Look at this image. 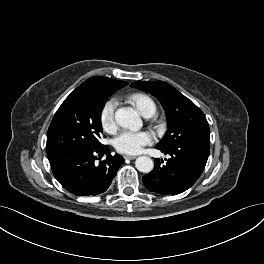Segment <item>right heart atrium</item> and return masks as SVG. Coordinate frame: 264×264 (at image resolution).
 I'll return each instance as SVG.
<instances>
[{
    "mask_svg": "<svg viewBox=\"0 0 264 264\" xmlns=\"http://www.w3.org/2000/svg\"><path fill=\"white\" fill-rule=\"evenodd\" d=\"M117 100L115 98L108 99L100 110V123L107 132H113L116 129L115 110Z\"/></svg>",
    "mask_w": 264,
    "mask_h": 264,
    "instance_id": "obj_1",
    "label": "right heart atrium"
}]
</instances>
